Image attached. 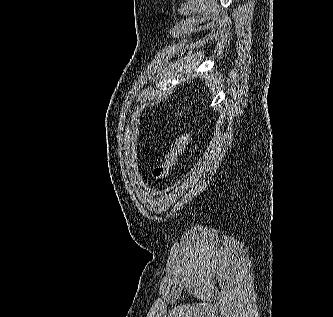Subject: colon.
I'll return each instance as SVG.
<instances>
[{"mask_svg":"<svg viewBox=\"0 0 333 317\" xmlns=\"http://www.w3.org/2000/svg\"><path fill=\"white\" fill-rule=\"evenodd\" d=\"M190 140V136L188 133L181 134L174 142L172 148L168 152L165 161L154 167L152 170V176L157 181H163L167 179L170 172L176 165L180 156L184 153L188 143Z\"/></svg>","mask_w":333,"mask_h":317,"instance_id":"colon-1","label":"colon"}]
</instances>
